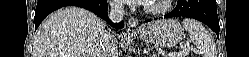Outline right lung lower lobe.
Wrapping results in <instances>:
<instances>
[{
	"instance_id": "98d812e1",
	"label": "right lung lower lobe",
	"mask_w": 249,
	"mask_h": 57,
	"mask_svg": "<svg viewBox=\"0 0 249 57\" xmlns=\"http://www.w3.org/2000/svg\"><path fill=\"white\" fill-rule=\"evenodd\" d=\"M65 6H78L85 8L106 20L111 26L117 29L124 26L123 22L116 24L108 19V4L106 0H38L34 17L35 29L38 28L47 15Z\"/></svg>"
}]
</instances>
